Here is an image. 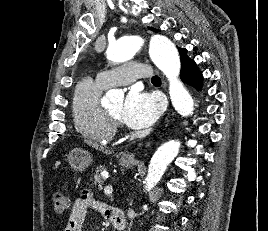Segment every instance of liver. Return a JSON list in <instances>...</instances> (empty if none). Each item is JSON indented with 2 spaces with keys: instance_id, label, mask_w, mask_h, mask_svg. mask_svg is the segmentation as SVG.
<instances>
[{
  "instance_id": "6515ba94",
  "label": "liver",
  "mask_w": 268,
  "mask_h": 231,
  "mask_svg": "<svg viewBox=\"0 0 268 231\" xmlns=\"http://www.w3.org/2000/svg\"><path fill=\"white\" fill-rule=\"evenodd\" d=\"M89 144L90 145H92L93 147H95L96 149H99V150H101V151H104V148L103 147H98V145H96V144H93V143H91V142H89Z\"/></svg>"
}]
</instances>
